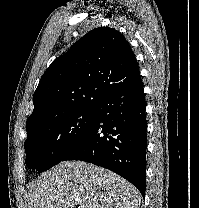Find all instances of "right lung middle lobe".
I'll return each instance as SVG.
<instances>
[{
    "mask_svg": "<svg viewBox=\"0 0 199 208\" xmlns=\"http://www.w3.org/2000/svg\"><path fill=\"white\" fill-rule=\"evenodd\" d=\"M95 107H84L52 118L28 132L24 147L25 163L30 169L43 172L61 162L86 134Z\"/></svg>",
    "mask_w": 199,
    "mask_h": 208,
    "instance_id": "dd1d6c3e",
    "label": "right lung middle lobe"
}]
</instances>
